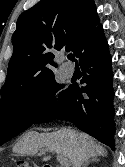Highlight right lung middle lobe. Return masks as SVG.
I'll use <instances>...</instances> for the list:
<instances>
[{
  "instance_id": "dd1d6c3e",
  "label": "right lung middle lobe",
  "mask_w": 125,
  "mask_h": 167,
  "mask_svg": "<svg viewBox=\"0 0 125 167\" xmlns=\"http://www.w3.org/2000/svg\"><path fill=\"white\" fill-rule=\"evenodd\" d=\"M55 77L41 85L0 102V145L29 128L49 107L60 103L68 89Z\"/></svg>"
}]
</instances>
